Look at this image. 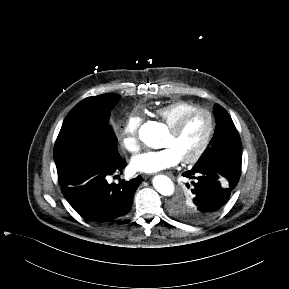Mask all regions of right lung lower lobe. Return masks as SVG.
<instances>
[{"label": "right lung lower lobe", "instance_id": "obj_1", "mask_svg": "<svg viewBox=\"0 0 289 289\" xmlns=\"http://www.w3.org/2000/svg\"><path fill=\"white\" fill-rule=\"evenodd\" d=\"M126 162L120 156L108 161L78 160L57 167L61 191L85 219L105 223L124 217L131 209L141 176L109 184L108 175L122 173Z\"/></svg>", "mask_w": 289, "mask_h": 289}]
</instances>
